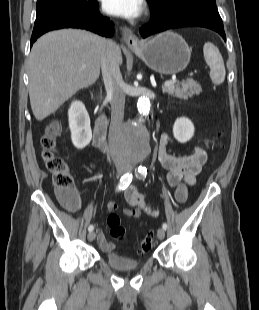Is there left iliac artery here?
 <instances>
[{
	"instance_id": "left-iliac-artery-1",
	"label": "left iliac artery",
	"mask_w": 259,
	"mask_h": 310,
	"mask_svg": "<svg viewBox=\"0 0 259 310\" xmlns=\"http://www.w3.org/2000/svg\"><path fill=\"white\" fill-rule=\"evenodd\" d=\"M146 175H147V168L143 167V166H139L138 169H137V172H136V177L137 178H141V177H146ZM162 228L164 230H166L167 229V224L163 223L162 224Z\"/></svg>"
}]
</instances>
